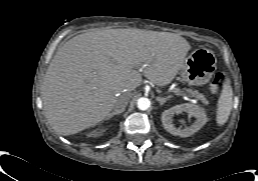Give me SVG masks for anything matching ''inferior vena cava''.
I'll return each instance as SVG.
<instances>
[{
  "instance_id": "1",
  "label": "inferior vena cava",
  "mask_w": 258,
  "mask_h": 181,
  "mask_svg": "<svg viewBox=\"0 0 258 181\" xmlns=\"http://www.w3.org/2000/svg\"><path fill=\"white\" fill-rule=\"evenodd\" d=\"M130 98H131V93H124L120 95L115 102L116 109L125 110V107L127 106Z\"/></svg>"
}]
</instances>
